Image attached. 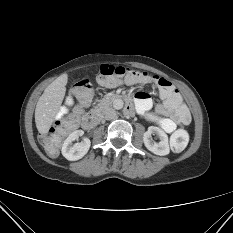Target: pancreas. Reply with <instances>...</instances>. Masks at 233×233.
Returning a JSON list of instances; mask_svg holds the SVG:
<instances>
[{"mask_svg": "<svg viewBox=\"0 0 233 233\" xmlns=\"http://www.w3.org/2000/svg\"><path fill=\"white\" fill-rule=\"evenodd\" d=\"M113 97H106L99 101V103L91 109L92 114H103L110 106Z\"/></svg>", "mask_w": 233, "mask_h": 233, "instance_id": "1", "label": "pancreas"}]
</instances>
